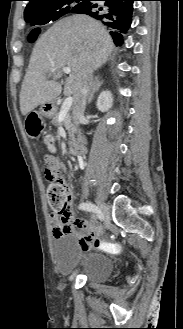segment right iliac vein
<instances>
[{
  "label": "right iliac vein",
  "instance_id": "obj_1",
  "mask_svg": "<svg viewBox=\"0 0 183 329\" xmlns=\"http://www.w3.org/2000/svg\"><path fill=\"white\" fill-rule=\"evenodd\" d=\"M98 209L101 211L102 215H103V220L105 222V226L108 229L109 228V224H110V216H109V212L107 210V208L102 205L100 202L96 201Z\"/></svg>",
  "mask_w": 183,
  "mask_h": 329
}]
</instances>
